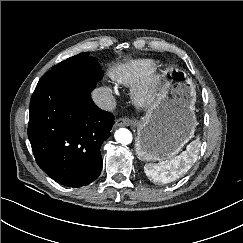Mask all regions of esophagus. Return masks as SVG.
<instances>
[{
	"label": "esophagus",
	"instance_id": "esophagus-1",
	"mask_svg": "<svg viewBox=\"0 0 243 243\" xmlns=\"http://www.w3.org/2000/svg\"><path fill=\"white\" fill-rule=\"evenodd\" d=\"M134 123L135 122L132 119L123 117V118H119V119L116 120L115 126H129V125H132Z\"/></svg>",
	"mask_w": 243,
	"mask_h": 243
}]
</instances>
